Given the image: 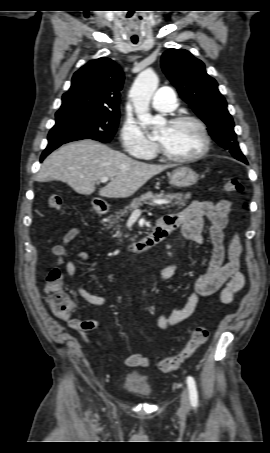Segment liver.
Instances as JSON below:
<instances>
[{
  "label": "liver",
  "mask_w": 270,
  "mask_h": 453,
  "mask_svg": "<svg viewBox=\"0 0 270 453\" xmlns=\"http://www.w3.org/2000/svg\"><path fill=\"white\" fill-rule=\"evenodd\" d=\"M168 168L170 165L134 160L104 144L86 139L63 145L50 154L44 160L36 181L60 180L79 194L91 195L96 182L108 177L111 181L99 190V195L127 198Z\"/></svg>",
  "instance_id": "liver-1"
}]
</instances>
